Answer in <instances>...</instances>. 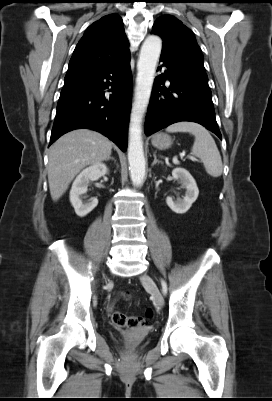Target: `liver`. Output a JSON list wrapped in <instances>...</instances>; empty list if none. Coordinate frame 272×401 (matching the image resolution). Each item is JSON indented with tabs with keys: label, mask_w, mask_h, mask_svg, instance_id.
Returning a JSON list of instances; mask_svg holds the SVG:
<instances>
[{
	"label": "liver",
	"mask_w": 272,
	"mask_h": 401,
	"mask_svg": "<svg viewBox=\"0 0 272 401\" xmlns=\"http://www.w3.org/2000/svg\"><path fill=\"white\" fill-rule=\"evenodd\" d=\"M112 142L89 129H77L60 137L50 147L48 182L52 200L57 201L74 177L86 166L111 155Z\"/></svg>",
	"instance_id": "obj_1"
}]
</instances>
